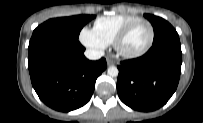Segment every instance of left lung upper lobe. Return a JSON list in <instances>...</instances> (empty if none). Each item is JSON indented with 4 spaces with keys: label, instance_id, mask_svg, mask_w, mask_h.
I'll use <instances>...</instances> for the list:
<instances>
[{
    "label": "left lung upper lobe",
    "instance_id": "left-lung-upper-lobe-1",
    "mask_svg": "<svg viewBox=\"0 0 203 123\" xmlns=\"http://www.w3.org/2000/svg\"><path fill=\"white\" fill-rule=\"evenodd\" d=\"M144 16L151 22L154 28L153 44L169 36L178 35L176 30L166 20L150 14H145Z\"/></svg>",
    "mask_w": 203,
    "mask_h": 123
}]
</instances>
